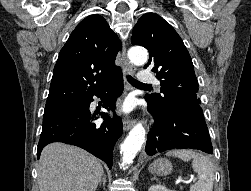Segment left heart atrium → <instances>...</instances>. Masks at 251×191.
Instances as JSON below:
<instances>
[{"label": "left heart atrium", "instance_id": "left-heart-atrium-1", "mask_svg": "<svg viewBox=\"0 0 251 191\" xmlns=\"http://www.w3.org/2000/svg\"><path fill=\"white\" fill-rule=\"evenodd\" d=\"M130 109H131L130 106H129L128 104H126V105H124V106L122 107L121 111L124 112V113H126V112H128Z\"/></svg>", "mask_w": 251, "mask_h": 191}]
</instances>
